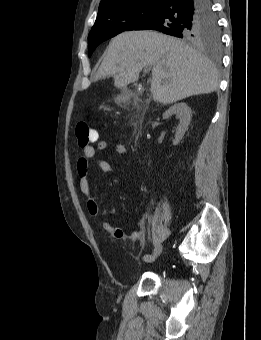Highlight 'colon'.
<instances>
[{"label":"colon","mask_w":261,"mask_h":340,"mask_svg":"<svg viewBox=\"0 0 261 340\" xmlns=\"http://www.w3.org/2000/svg\"><path fill=\"white\" fill-rule=\"evenodd\" d=\"M75 134L79 145L82 147L95 142L99 137L98 132L91 128L85 121L77 124Z\"/></svg>","instance_id":"obj_1"}]
</instances>
